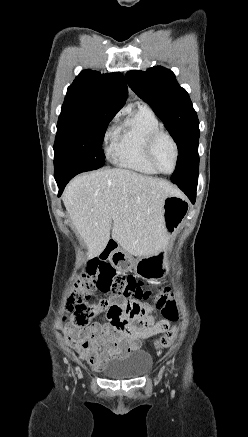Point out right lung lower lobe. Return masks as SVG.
<instances>
[{
  "label": "right lung lower lobe",
  "mask_w": 248,
  "mask_h": 437,
  "mask_svg": "<svg viewBox=\"0 0 248 437\" xmlns=\"http://www.w3.org/2000/svg\"><path fill=\"white\" fill-rule=\"evenodd\" d=\"M91 167L79 165H65L55 168V180L59 187V196L62 194L66 184L77 174L85 171H90Z\"/></svg>",
  "instance_id": "obj_1"
}]
</instances>
